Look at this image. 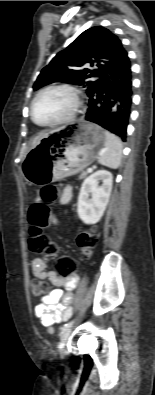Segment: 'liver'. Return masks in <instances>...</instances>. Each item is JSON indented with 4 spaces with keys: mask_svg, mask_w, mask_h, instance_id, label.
<instances>
[{
    "mask_svg": "<svg viewBox=\"0 0 155 395\" xmlns=\"http://www.w3.org/2000/svg\"><path fill=\"white\" fill-rule=\"evenodd\" d=\"M53 132V131H51ZM51 132H45V133H41L38 136H36L33 141H32V148L35 147L37 144H39V142L43 139L49 136V134Z\"/></svg>",
    "mask_w": 155,
    "mask_h": 395,
    "instance_id": "liver-1",
    "label": "liver"
}]
</instances>
